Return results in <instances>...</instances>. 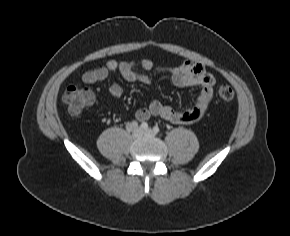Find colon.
Wrapping results in <instances>:
<instances>
[{
	"instance_id": "colon-1",
	"label": "colon",
	"mask_w": 290,
	"mask_h": 236,
	"mask_svg": "<svg viewBox=\"0 0 290 236\" xmlns=\"http://www.w3.org/2000/svg\"><path fill=\"white\" fill-rule=\"evenodd\" d=\"M218 96L223 101H230L234 97V91L229 85L222 84L218 88ZM62 99L67 105L68 111L73 115H78L93 104L95 94L89 87L72 85L67 87Z\"/></svg>"
}]
</instances>
